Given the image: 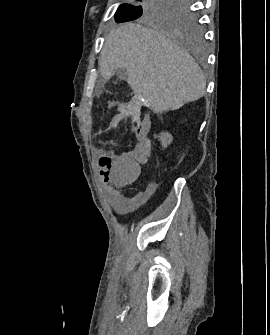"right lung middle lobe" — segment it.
<instances>
[{
  "label": "right lung middle lobe",
  "instance_id": "right-lung-middle-lobe-1",
  "mask_svg": "<svg viewBox=\"0 0 270 335\" xmlns=\"http://www.w3.org/2000/svg\"><path fill=\"white\" fill-rule=\"evenodd\" d=\"M114 18L117 23L140 18L184 42L202 43L203 28L187 0H133L120 5Z\"/></svg>",
  "mask_w": 270,
  "mask_h": 335
}]
</instances>
